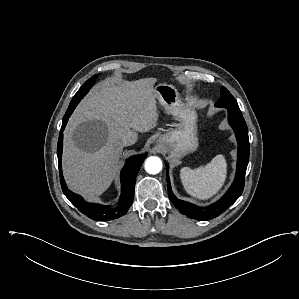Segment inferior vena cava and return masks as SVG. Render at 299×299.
Instances as JSON below:
<instances>
[{"mask_svg":"<svg viewBox=\"0 0 299 299\" xmlns=\"http://www.w3.org/2000/svg\"><path fill=\"white\" fill-rule=\"evenodd\" d=\"M137 141V133L133 131H129L123 138V145L124 146H129L134 144Z\"/></svg>","mask_w":299,"mask_h":299,"instance_id":"inferior-vena-cava-1","label":"inferior vena cava"}]
</instances>
